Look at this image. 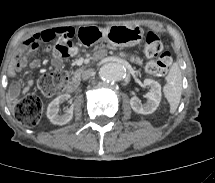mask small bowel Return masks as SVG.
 <instances>
[{"mask_svg": "<svg viewBox=\"0 0 215 183\" xmlns=\"http://www.w3.org/2000/svg\"><path fill=\"white\" fill-rule=\"evenodd\" d=\"M71 31L69 27H58V28H50V29H45L40 32H37L30 36L26 42H25V50L22 53H18L14 63L9 67L8 69V74L10 76H15L22 70H24L28 64L25 55L29 51V45L30 43H33L35 40H39L41 42V45L43 43L49 42L55 38V36L59 33L62 32H67ZM61 61L59 59H54L53 60V65L58 66L60 65ZM32 65L34 67H39L41 65V62L39 60H34L32 62ZM32 82L29 81L27 86L21 87L20 85L16 84L12 87L10 91V98L16 97L21 91L25 92L28 90L29 86H31Z\"/></svg>", "mask_w": 215, "mask_h": 183, "instance_id": "obj_1", "label": "small bowel"}]
</instances>
